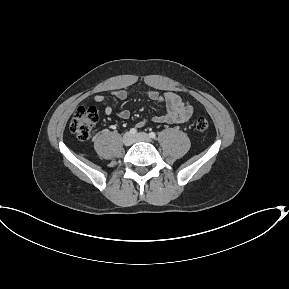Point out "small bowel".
Instances as JSON below:
<instances>
[{
    "label": "small bowel",
    "instance_id": "c3829d8e",
    "mask_svg": "<svg viewBox=\"0 0 289 289\" xmlns=\"http://www.w3.org/2000/svg\"><path fill=\"white\" fill-rule=\"evenodd\" d=\"M112 95L119 101L125 100L129 97L130 93L126 89H118L112 92ZM149 99L153 101L163 102L166 106V111L162 115L153 116L152 120L158 123L169 124H184L190 120L193 112L191 104L181 99L174 92H165L159 94L155 90H149L147 92ZM95 102L104 106V112L106 115H111L113 112L112 107L106 102L103 95H97L94 98ZM121 119H128L130 117V111L127 109L121 110L117 114ZM145 124L144 121L138 123L139 127Z\"/></svg>",
    "mask_w": 289,
    "mask_h": 289
}]
</instances>
